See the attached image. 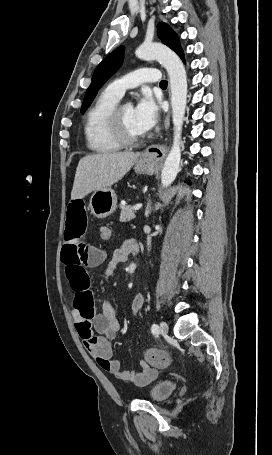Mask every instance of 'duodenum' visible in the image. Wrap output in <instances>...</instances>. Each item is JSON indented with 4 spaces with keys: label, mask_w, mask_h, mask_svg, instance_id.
Returning <instances> with one entry per match:
<instances>
[{
    "label": "duodenum",
    "mask_w": 272,
    "mask_h": 455,
    "mask_svg": "<svg viewBox=\"0 0 272 455\" xmlns=\"http://www.w3.org/2000/svg\"><path fill=\"white\" fill-rule=\"evenodd\" d=\"M134 250L136 254L139 253V246L137 245V243L134 244Z\"/></svg>",
    "instance_id": "1"
}]
</instances>
